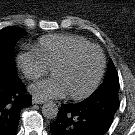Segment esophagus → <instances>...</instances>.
<instances>
[{"mask_svg": "<svg viewBox=\"0 0 135 135\" xmlns=\"http://www.w3.org/2000/svg\"><path fill=\"white\" fill-rule=\"evenodd\" d=\"M32 103L33 104H43V103H45V100H41V99L33 96Z\"/></svg>", "mask_w": 135, "mask_h": 135, "instance_id": "1", "label": "esophagus"}]
</instances>
